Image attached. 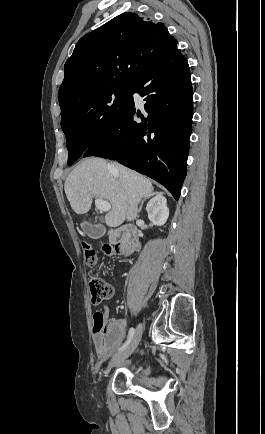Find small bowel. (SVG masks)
<instances>
[{
	"label": "small bowel",
	"mask_w": 265,
	"mask_h": 434,
	"mask_svg": "<svg viewBox=\"0 0 265 434\" xmlns=\"http://www.w3.org/2000/svg\"><path fill=\"white\" fill-rule=\"evenodd\" d=\"M108 312L109 310L105 309L103 313L108 315ZM126 325V319L123 317L111 318L104 331L94 336V348L100 362H104L109 354H114V350L122 343L126 336Z\"/></svg>",
	"instance_id": "1"
}]
</instances>
